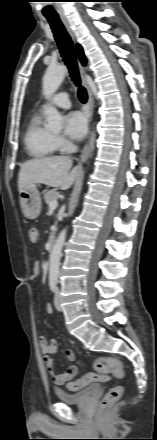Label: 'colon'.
I'll list each match as a JSON object with an SVG mask.
<instances>
[{
	"instance_id": "obj_1",
	"label": "colon",
	"mask_w": 157,
	"mask_h": 440,
	"mask_svg": "<svg viewBox=\"0 0 157 440\" xmlns=\"http://www.w3.org/2000/svg\"><path fill=\"white\" fill-rule=\"evenodd\" d=\"M28 237L32 243L39 241V231L36 227H30L28 230ZM96 372L88 373L83 377L70 380L66 383L67 388L71 391L80 390L94 382L104 381L107 379L108 374L112 373L118 378L124 377V366L120 360L114 357H102L95 363ZM123 393V387L116 385L112 387L101 401V406L107 408L113 405L121 397Z\"/></svg>"
}]
</instances>
